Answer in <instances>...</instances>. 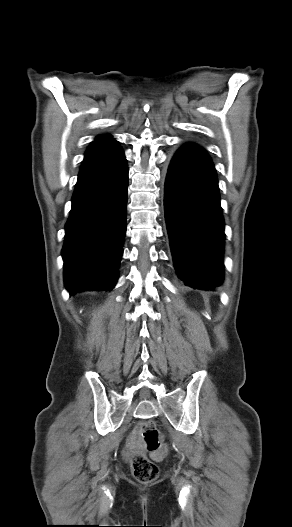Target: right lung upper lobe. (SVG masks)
Masks as SVG:
<instances>
[{"mask_svg":"<svg viewBox=\"0 0 292 527\" xmlns=\"http://www.w3.org/2000/svg\"><path fill=\"white\" fill-rule=\"evenodd\" d=\"M113 140L110 135H101L96 138L95 141Z\"/></svg>","mask_w":292,"mask_h":527,"instance_id":"1","label":"right lung upper lobe"}]
</instances>
